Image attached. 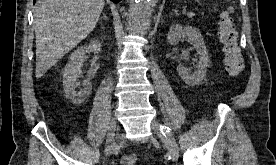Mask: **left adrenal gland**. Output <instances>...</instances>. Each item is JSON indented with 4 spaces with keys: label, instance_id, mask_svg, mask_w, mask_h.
Returning <instances> with one entry per match:
<instances>
[{
    "label": "left adrenal gland",
    "instance_id": "left-adrenal-gland-1",
    "mask_svg": "<svg viewBox=\"0 0 276 165\" xmlns=\"http://www.w3.org/2000/svg\"><path fill=\"white\" fill-rule=\"evenodd\" d=\"M174 12H175V14H176V15H178V11H177V9H174Z\"/></svg>",
    "mask_w": 276,
    "mask_h": 165
}]
</instances>
